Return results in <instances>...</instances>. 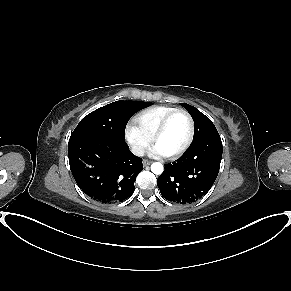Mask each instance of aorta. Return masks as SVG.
I'll use <instances>...</instances> for the list:
<instances>
[{"instance_id": "762f6f07", "label": "aorta", "mask_w": 291, "mask_h": 291, "mask_svg": "<svg viewBox=\"0 0 291 291\" xmlns=\"http://www.w3.org/2000/svg\"><path fill=\"white\" fill-rule=\"evenodd\" d=\"M163 170V165L159 162H155L151 165V171L156 175L162 174Z\"/></svg>"}]
</instances>
